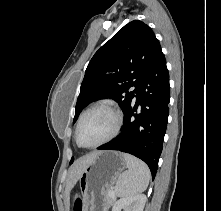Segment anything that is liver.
Segmentation results:
<instances>
[{"instance_id":"1","label":"liver","mask_w":221,"mask_h":211,"mask_svg":"<svg viewBox=\"0 0 221 211\" xmlns=\"http://www.w3.org/2000/svg\"><path fill=\"white\" fill-rule=\"evenodd\" d=\"M98 152L90 153L82 158L77 159L71 166L68 180L66 183V197L69 204L70 192L79 180L84 168L93 160Z\"/></svg>"}]
</instances>
